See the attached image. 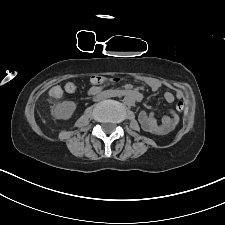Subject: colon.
<instances>
[{
    "label": "colon",
    "instance_id": "colon-1",
    "mask_svg": "<svg viewBox=\"0 0 225 225\" xmlns=\"http://www.w3.org/2000/svg\"><path fill=\"white\" fill-rule=\"evenodd\" d=\"M118 81H119L118 78H108V77L100 76V75H96V76H93L91 78V83L94 84V85H100V84L109 83V82L115 83V82H118ZM64 90L67 94L72 95V94L78 93L80 88L74 82H67L64 86ZM50 95H51V97H53L55 99L60 98L63 95L62 86L59 85V84L55 85L51 89ZM176 108H177L178 111H183L184 110L183 101H179L176 105Z\"/></svg>",
    "mask_w": 225,
    "mask_h": 225
}]
</instances>
